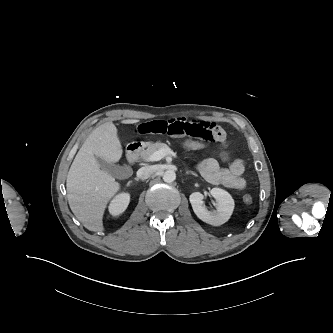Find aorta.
<instances>
[{
	"label": "aorta",
	"instance_id": "aorta-1",
	"mask_svg": "<svg viewBox=\"0 0 333 333\" xmlns=\"http://www.w3.org/2000/svg\"><path fill=\"white\" fill-rule=\"evenodd\" d=\"M176 179V173L173 170H166L163 173V180L167 183H171L175 181Z\"/></svg>",
	"mask_w": 333,
	"mask_h": 333
}]
</instances>
